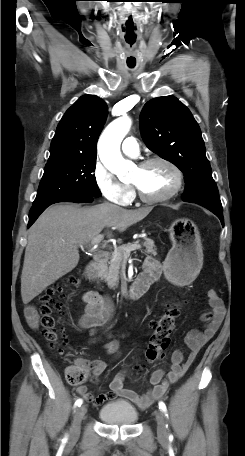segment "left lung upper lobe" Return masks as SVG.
Returning a JSON list of instances; mask_svg holds the SVG:
<instances>
[{
	"label": "left lung upper lobe",
	"instance_id": "left-lung-upper-lobe-1",
	"mask_svg": "<svg viewBox=\"0 0 245 456\" xmlns=\"http://www.w3.org/2000/svg\"><path fill=\"white\" fill-rule=\"evenodd\" d=\"M140 129L146 146L183 172V201L222 211L201 130L189 109L173 96L155 98L142 109Z\"/></svg>",
	"mask_w": 245,
	"mask_h": 456
}]
</instances>
